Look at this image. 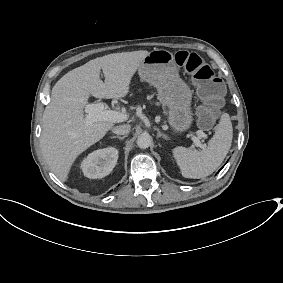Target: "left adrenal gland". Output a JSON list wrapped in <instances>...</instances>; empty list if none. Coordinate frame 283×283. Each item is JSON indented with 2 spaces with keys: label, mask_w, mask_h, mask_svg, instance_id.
<instances>
[{
  "label": "left adrenal gland",
  "mask_w": 283,
  "mask_h": 283,
  "mask_svg": "<svg viewBox=\"0 0 283 283\" xmlns=\"http://www.w3.org/2000/svg\"><path fill=\"white\" fill-rule=\"evenodd\" d=\"M155 130H157V132H158V133H157V137H161V136H162L165 140L168 139L167 135L161 133L160 130H159V128H156V127H155Z\"/></svg>",
  "instance_id": "a2214340"
}]
</instances>
